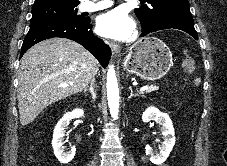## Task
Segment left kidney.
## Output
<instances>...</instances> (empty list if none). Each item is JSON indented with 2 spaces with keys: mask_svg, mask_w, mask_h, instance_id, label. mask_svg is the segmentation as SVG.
<instances>
[{
  "mask_svg": "<svg viewBox=\"0 0 227 166\" xmlns=\"http://www.w3.org/2000/svg\"><path fill=\"white\" fill-rule=\"evenodd\" d=\"M143 122L155 121L161 125V132L163 135V143L160 146V152L154 153L150 145H146V155L150 156V161L153 164L161 165L168 158L174 144L175 132L170 117L163 112H160L156 107L147 108L142 115Z\"/></svg>",
  "mask_w": 227,
  "mask_h": 166,
  "instance_id": "obj_1",
  "label": "left kidney"
}]
</instances>
